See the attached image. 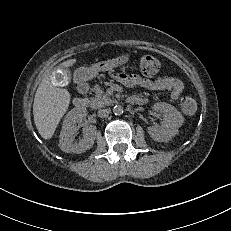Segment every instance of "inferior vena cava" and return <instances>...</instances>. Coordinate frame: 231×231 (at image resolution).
Listing matches in <instances>:
<instances>
[{"mask_svg": "<svg viewBox=\"0 0 231 231\" xmlns=\"http://www.w3.org/2000/svg\"><path fill=\"white\" fill-rule=\"evenodd\" d=\"M110 111L111 110L109 108L100 109L98 111V116L102 117V118H105V117H107L109 115Z\"/></svg>", "mask_w": 231, "mask_h": 231, "instance_id": "inferior-vena-cava-1", "label": "inferior vena cava"}]
</instances>
